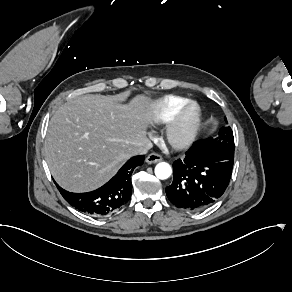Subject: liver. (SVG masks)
Returning <instances> with one entry per match:
<instances>
[{
	"label": "liver",
	"instance_id": "6515ba94",
	"mask_svg": "<svg viewBox=\"0 0 292 292\" xmlns=\"http://www.w3.org/2000/svg\"><path fill=\"white\" fill-rule=\"evenodd\" d=\"M154 103L137 95L128 104L84 95L59 107L49 122L44 155L52 176L70 192L108 182L146 140Z\"/></svg>",
	"mask_w": 292,
	"mask_h": 292
}]
</instances>
